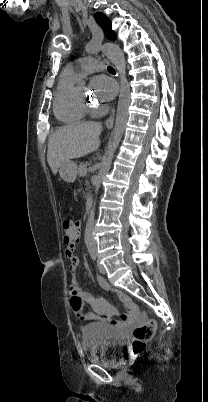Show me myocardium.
<instances>
[{
    "instance_id": "obj_1",
    "label": "myocardium",
    "mask_w": 208,
    "mask_h": 402,
    "mask_svg": "<svg viewBox=\"0 0 208 402\" xmlns=\"http://www.w3.org/2000/svg\"><path fill=\"white\" fill-rule=\"evenodd\" d=\"M77 100L85 110H89L94 107V102L91 99H88L84 91L81 89L77 90Z\"/></svg>"
}]
</instances>
